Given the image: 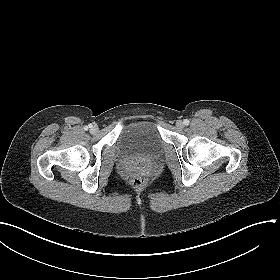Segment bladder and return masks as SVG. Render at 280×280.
<instances>
[{
	"mask_svg": "<svg viewBox=\"0 0 280 280\" xmlns=\"http://www.w3.org/2000/svg\"><path fill=\"white\" fill-rule=\"evenodd\" d=\"M162 138L156 124L149 119L137 120L125 126L118 146L128 154L153 155L161 149Z\"/></svg>",
	"mask_w": 280,
	"mask_h": 280,
	"instance_id": "bladder-1",
	"label": "bladder"
}]
</instances>
